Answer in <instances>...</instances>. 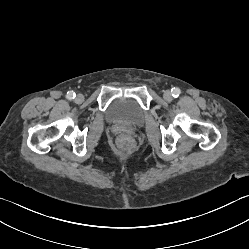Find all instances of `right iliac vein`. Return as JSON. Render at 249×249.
<instances>
[{"instance_id": "right-iliac-vein-1", "label": "right iliac vein", "mask_w": 249, "mask_h": 249, "mask_svg": "<svg viewBox=\"0 0 249 249\" xmlns=\"http://www.w3.org/2000/svg\"><path fill=\"white\" fill-rule=\"evenodd\" d=\"M83 100H84V97H83V95H81V94H78V95L76 96V98H75V101H76L77 103H81V102H83Z\"/></svg>"}]
</instances>
